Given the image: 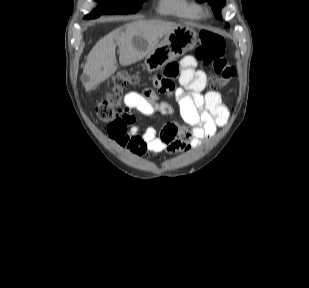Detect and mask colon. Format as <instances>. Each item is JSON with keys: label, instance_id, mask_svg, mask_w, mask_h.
I'll return each instance as SVG.
<instances>
[{"label": "colon", "instance_id": "obj_1", "mask_svg": "<svg viewBox=\"0 0 309 288\" xmlns=\"http://www.w3.org/2000/svg\"><path fill=\"white\" fill-rule=\"evenodd\" d=\"M198 39L199 45L195 50V57L204 66L211 68L210 86L214 90L226 87L233 78L235 70L226 58V44L223 38L204 30L199 33ZM134 82L135 78L126 72H119L113 77L109 95L99 100L95 107L96 115L101 121L120 122L123 125L134 123V116L127 108L121 106L118 100L124 88ZM156 87L161 93H170L169 84L161 82Z\"/></svg>", "mask_w": 309, "mask_h": 288}]
</instances>
